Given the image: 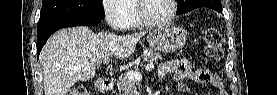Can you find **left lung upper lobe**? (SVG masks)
Masks as SVG:
<instances>
[{
	"label": "left lung upper lobe",
	"mask_w": 277,
	"mask_h": 95,
	"mask_svg": "<svg viewBox=\"0 0 277 95\" xmlns=\"http://www.w3.org/2000/svg\"><path fill=\"white\" fill-rule=\"evenodd\" d=\"M177 14H184L199 7H208L222 12L221 0H177Z\"/></svg>",
	"instance_id": "obj_1"
}]
</instances>
